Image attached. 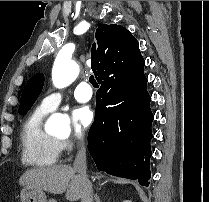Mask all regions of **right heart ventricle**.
<instances>
[{"label":"right heart ventricle","instance_id":"obj_1","mask_svg":"<svg viewBox=\"0 0 209 202\" xmlns=\"http://www.w3.org/2000/svg\"><path fill=\"white\" fill-rule=\"evenodd\" d=\"M48 112L37 108L22 126L21 159L25 165L44 168L54 165L59 159V141L43 128V120Z\"/></svg>","mask_w":209,"mask_h":202}]
</instances>
